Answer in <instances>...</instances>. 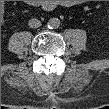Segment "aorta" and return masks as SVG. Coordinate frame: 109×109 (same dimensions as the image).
Returning a JSON list of instances; mask_svg holds the SVG:
<instances>
[{
	"mask_svg": "<svg viewBox=\"0 0 109 109\" xmlns=\"http://www.w3.org/2000/svg\"><path fill=\"white\" fill-rule=\"evenodd\" d=\"M60 26V20L56 17L50 18L48 21V27L52 29H56Z\"/></svg>",
	"mask_w": 109,
	"mask_h": 109,
	"instance_id": "762f6f07",
	"label": "aorta"
}]
</instances>
